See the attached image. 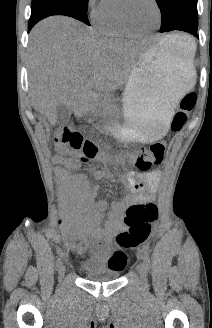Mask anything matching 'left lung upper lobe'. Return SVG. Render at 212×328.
<instances>
[{
	"label": "left lung upper lobe",
	"mask_w": 212,
	"mask_h": 328,
	"mask_svg": "<svg viewBox=\"0 0 212 328\" xmlns=\"http://www.w3.org/2000/svg\"><path fill=\"white\" fill-rule=\"evenodd\" d=\"M160 7L162 24L160 32L179 27L198 28L197 0H156Z\"/></svg>",
	"instance_id": "5c2ea615"
}]
</instances>
